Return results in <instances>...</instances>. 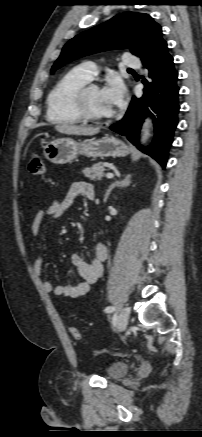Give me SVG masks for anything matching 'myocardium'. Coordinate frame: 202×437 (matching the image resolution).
Returning a JSON list of instances; mask_svg holds the SVG:
<instances>
[{
    "mask_svg": "<svg viewBox=\"0 0 202 437\" xmlns=\"http://www.w3.org/2000/svg\"><path fill=\"white\" fill-rule=\"evenodd\" d=\"M94 88H100V86L95 82L88 81L75 91L72 99L74 110L82 121L91 123L108 122L113 119L114 114L105 117H99L92 114L88 109L87 96L89 91Z\"/></svg>",
    "mask_w": 202,
    "mask_h": 437,
    "instance_id": "myocardium-1",
    "label": "myocardium"
}]
</instances>
